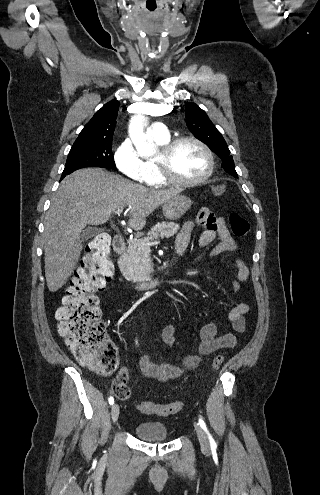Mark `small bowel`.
Wrapping results in <instances>:
<instances>
[{
	"instance_id": "small-bowel-1",
	"label": "small bowel",
	"mask_w": 320,
	"mask_h": 495,
	"mask_svg": "<svg viewBox=\"0 0 320 495\" xmlns=\"http://www.w3.org/2000/svg\"><path fill=\"white\" fill-rule=\"evenodd\" d=\"M196 222L204 226L198 247L203 249L218 239L219 243L210 251V256H216L221 253H236L238 244L235 238L231 235L226 221L222 217L216 216L209 208H203L197 215ZM195 221H187L183 224L176 238V250L179 255H182L190 242L191 233L194 229ZM234 267L236 270L235 277L231 280V285L234 294H238L241 284L247 281L249 270L245 261L241 257H235ZM249 310V305L245 302H239L232 305L226 321L231 324L237 332H242L245 328V315ZM176 327L173 324L166 325L161 337L169 346H175ZM236 343L235 336L232 334H217V326L210 322L202 327L200 331V339L197 346V352L194 354L180 353L181 365L170 363L157 364L151 360L148 355H144L139 360V367L145 377L156 379L161 382H166L183 375L186 371L196 369L203 361L204 357L213 354L214 352L232 348ZM120 374L128 376V372L124 369Z\"/></svg>"
}]
</instances>
